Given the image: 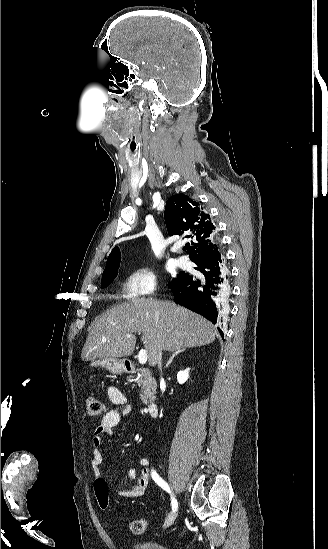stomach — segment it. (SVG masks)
Segmentation results:
<instances>
[{"mask_svg": "<svg viewBox=\"0 0 328 549\" xmlns=\"http://www.w3.org/2000/svg\"><path fill=\"white\" fill-rule=\"evenodd\" d=\"M130 365L128 359H94L89 363V367H101V369H106L112 375L130 373Z\"/></svg>", "mask_w": 328, "mask_h": 549, "instance_id": "1", "label": "stomach"}]
</instances>
